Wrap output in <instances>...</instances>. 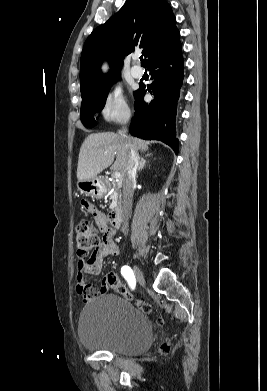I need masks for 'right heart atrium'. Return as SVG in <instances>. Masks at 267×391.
<instances>
[{
  "mask_svg": "<svg viewBox=\"0 0 267 391\" xmlns=\"http://www.w3.org/2000/svg\"><path fill=\"white\" fill-rule=\"evenodd\" d=\"M100 115L108 122H123L129 118V107L119 89L108 93L100 109Z\"/></svg>",
  "mask_w": 267,
  "mask_h": 391,
  "instance_id": "d8ad5b80",
  "label": "right heart atrium"
}]
</instances>
